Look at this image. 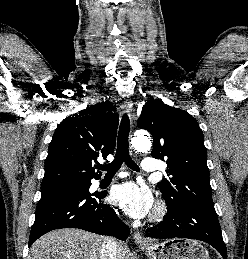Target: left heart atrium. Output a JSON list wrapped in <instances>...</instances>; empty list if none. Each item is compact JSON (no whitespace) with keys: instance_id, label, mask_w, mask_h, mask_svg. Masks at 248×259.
Here are the masks:
<instances>
[{"instance_id":"left-heart-atrium-1","label":"left heart atrium","mask_w":248,"mask_h":259,"mask_svg":"<svg viewBox=\"0 0 248 259\" xmlns=\"http://www.w3.org/2000/svg\"><path fill=\"white\" fill-rule=\"evenodd\" d=\"M110 198L114 204L134 218L146 216L153 205L151 192L131 182L115 186Z\"/></svg>"}]
</instances>
